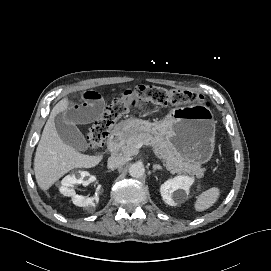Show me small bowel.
Returning <instances> with one entry per match:
<instances>
[{"label":"small bowel","instance_id":"c3829d8e","mask_svg":"<svg viewBox=\"0 0 271 271\" xmlns=\"http://www.w3.org/2000/svg\"><path fill=\"white\" fill-rule=\"evenodd\" d=\"M127 99L130 105L129 111H136L143 119L155 120L158 111L151 103H148L134 95L131 90L125 91L119 97ZM104 109V99L96 91H85L79 103L61 105L58 112L49 122V128L56 131L72 147L82 148L84 140L79 126L91 123L98 118Z\"/></svg>","mask_w":271,"mask_h":271}]
</instances>
